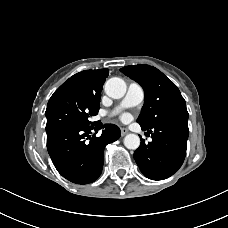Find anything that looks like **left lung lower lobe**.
I'll return each mask as SVG.
<instances>
[{"mask_svg":"<svg viewBox=\"0 0 228 228\" xmlns=\"http://www.w3.org/2000/svg\"><path fill=\"white\" fill-rule=\"evenodd\" d=\"M152 141L141 139L134 159L141 172L149 179L163 180L172 176L181 167L189 135L188 119L173 120L145 129Z\"/></svg>","mask_w":228,"mask_h":228,"instance_id":"0a47b994","label":"left lung lower lobe"}]
</instances>
